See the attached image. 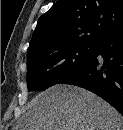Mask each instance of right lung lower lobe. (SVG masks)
Here are the masks:
<instances>
[{
	"label": "right lung lower lobe",
	"mask_w": 123,
	"mask_h": 130,
	"mask_svg": "<svg viewBox=\"0 0 123 130\" xmlns=\"http://www.w3.org/2000/svg\"><path fill=\"white\" fill-rule=\"evenodd\" d=\"M59 84L85 88L123 115V25L100 38L92 54Z\"/></svg>",
	"instance_id": "98d812e1"
}]
</instances>
